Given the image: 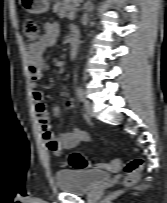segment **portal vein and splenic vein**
<instances>
[{"label":"portal vein and splenic vein","mask_w":167,"mask_h":203,"mask_svg":"<svg viewBox=\"0 0 167 203\" xmlns=\"http://www.w3.org/2000/svg\"><path fill=\"white\" fill-rule=\"evenodd\" d=\"M74 17V12L69 14V18H73Z\"/></svg>","instance_id":"obj_1"}]
</instances>
